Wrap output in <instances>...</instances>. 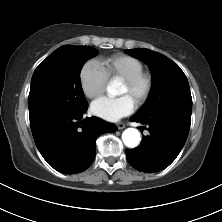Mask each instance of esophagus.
<instances>
[{
    "instance_id": "1",
    "label": "esophagus",
    "mask_w": 222,
    "mask_h": 222,
    "mask_svg": "<svg viewBox=\"0 0 222 222\" xmlns=\"http://www.w3.org/2000/svg\"><path fill=\"white\" fill-rule=\"evenodd\" d=\"M116 126H117V128H118L119 130L125 128V124H124V123H121V122L117 123Z\"/></svg>"
}]
</instances>
